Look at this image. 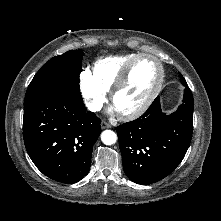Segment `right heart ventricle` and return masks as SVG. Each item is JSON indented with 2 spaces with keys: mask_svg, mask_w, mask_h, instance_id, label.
<instances>
[{
  "mask_svg": "<svg viewBox=\"0 0 221 221\" xmlns=\"http://www.w3.org/2000/svg\"><path fill=\"white\" fill-rule=\"evenodd\" d=\"M140 53L108 56L97 60L92 67L95 81L106 91H110L127 63Z\"/></svg>",
  "mask_w": 221,
  "mask_h": 221,
  "instance_id": "1",
  "label": "right heart ventricle"
}]
</instances>
